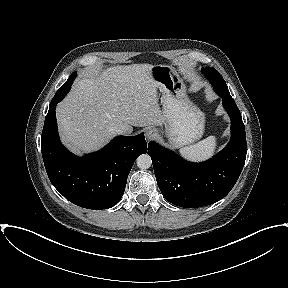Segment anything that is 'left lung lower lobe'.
Here are the masks:
<instances>
[{
  "instance_id": "obj_1",
  "label": "left lung lower lobe",
  "mask_w": 288,
  "mask_h": 288,
  "mask_svg": "<svg viewBox=\"0 0 288 288\" xmlns=\"http://www.w3.org/2000/svg\"><path fill=\"white\" fill-rule=\"evenodd\" d=\"M221 97L231 118L232 136L210 160L191 163L154 142L148 144L159 189L174 205L198 208L213 204L230 192L240 176L247 153L245 127L233 98Z\"/></svg>"
}]
</instances>
